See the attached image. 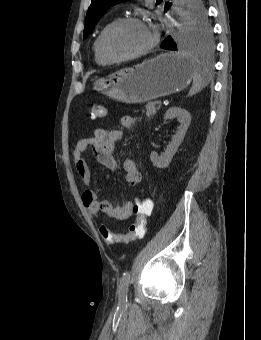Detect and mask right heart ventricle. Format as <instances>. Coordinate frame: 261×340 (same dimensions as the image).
Segmentation results:
<instances>
[{
    "label": "right heart ventricle",
    "mask_w": 261,
    "mask_h": 340,
    "mask_svg": "<svg viewBox=\"0 0 261 340\" xmlns=\"http://www.w3.org/2000/svg\"><path fill=\"white\" fill-rule=\"evenodd\" d=\"M113 21L114 20H110L106 24L103 25V27L100 29V31L97 34V36L94 40V43H93V51H94L95 61L98 65H101V66L110 65V64L113 63L112 61H110L109 59L104 57V55L102 54V52L100 50V45H99L102 33Z\"/></svg>",
    "instance_id": "e07e8e85"
}]
</instances>
